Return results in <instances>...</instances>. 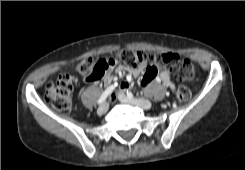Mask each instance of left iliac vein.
<instances>
[{
    "label": "left iliac vein",
    "mask_w": 245,
    "mask_h": 170,
    "mask_svg": "<svg viewBox=\"0 0 245 170\" xmlns=\"http://www.w3.org/2000/svg\"><path fill=\"white\" fill-rule=\"evenodd\" d=\"M117 97L122 103L130 104L133 106H138L143 110H149L152 107V104L150 101L148 100L144 101L142 99H137V98H129L123 92H119L117 94Z\"/></svg>",
    "instance_id": "obj_1"
}]
</instances>
